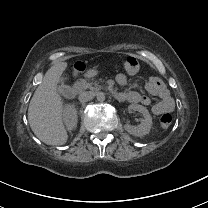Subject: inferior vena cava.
Returning a JSON list of instances; mask_svg holds the SVG:
<instances>
[{"label": "inferior vena cava", "mask_w": 208, "mask_h": 208, "mask_svg": "<svg viewBox=\"0 0 208 208\" xmlns=\"http://www.w3.org/2000/svg\"><path fill=\"white\" fill-rule=\"evenodd\" d=\"M95 97L94 93L91 92V91H85V92H82L80 95H79V101L81 103H86L90 100H92L93 98Z\"/></svg>", "instance_id": "602c4592"}]
</instances>
